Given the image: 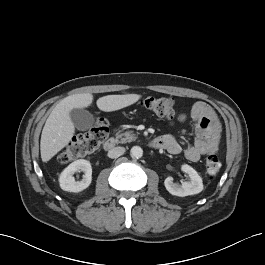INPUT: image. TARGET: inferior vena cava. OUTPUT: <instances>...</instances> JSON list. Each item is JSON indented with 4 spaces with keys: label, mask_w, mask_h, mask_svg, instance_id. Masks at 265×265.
Wrapping results in <instances>:
<instances>
[{
    "label": "inferior vena cava",
    "mask_w": 265,
    "mask_h": 265,
    "mask_svg": "<svg viewBox=\"0 0 265 265\" xmlns=\"http://www.w3.org/2000/svg\"><path fill=\"white\" fill-rule=\"evenodd\" d=\"M125 152L124 147H115L108 151L109 158H118L119 156L123 155Z\"/></svg>",
    "instance_id": "obj_1"
}]
</instances>
